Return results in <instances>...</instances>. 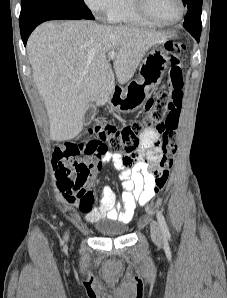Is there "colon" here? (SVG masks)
I'll list each match as a JSON object with an SVG mask.
<instances>
[{"mask_svg":"<svg viewBox=\"0 0 227 298\" xmlns=\"http://www.w3.org/2000/svg\"><path fill=\"white\" fill-rule=\"evenodd\" d=\"M166 49L171 54V66L169 71L168 82L160 89L154 98L157 99L153 104V109L149 115H143L139 119L130 121L122 126H116L109 123L97 122L88 129V134L92 135L91 139H80L83 142H110L107 150H131L135 152L141 146L143 134L155 129V125H165V130H159L160 149L162 152L159 157V167L161 172L152 173L154 182L151 185V192L158 193L165 186L169 169L173 163V156L177 149L176 129L179 123L180 107L182 105V87L183 76L181 68V52L184 45L178 42L169 41L166 43ZM57 150V149H55ZM83 182L79 177L75 184L69 185L67 190L63 191V196L68 201H74L77 197L74 191Z\"/></svg>","mask_w":227,"mask_h":298,"instance_id":"colon-1","label":"colon"}]
</instances>
